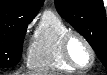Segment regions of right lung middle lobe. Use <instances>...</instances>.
I'll return each instance as SVG.
<instances>
[{
    "instance_id": "1",
    "label": "right lung middle lobe",
    "mask_w": 107,
    "mask_h": 75,
    "mask_svg": "<svg viewBox=\"0 0 107 75\" xmlns=\"http://www.w3.org/2000/svg\"><path fill=\"white\" fill-rule=\"evenodd\" d=\"M28 23H14L0 30V67L15 66L21 57Z\"/></svg>"
}]
</instances>
